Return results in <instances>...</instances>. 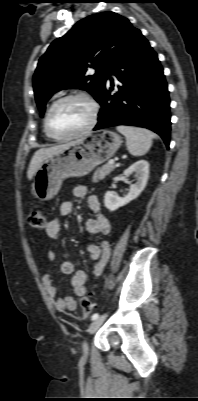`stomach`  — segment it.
Instances as JSON below:
<instances>
[{
	"instance_id": "0dacf381",
	"label": "stomach",
	"mask_w": 198,
	"mask_h": 401,
	"mask_svg": "<svg viewBox=\"0 0 198 401\" xmlns=\"http://www.w3.org/2000/svg\"><path fill=\"white\" fill-rule=\"evenodd\" d=\"M122 144L111 130H100L69 143L59 153L46 159L34 180V194L40 201L53 198L63 180L87 175L97 165L110 159Z\"/></svg>"
}]
</instances>
